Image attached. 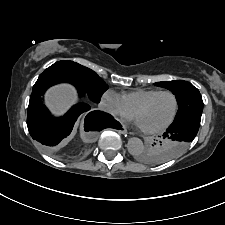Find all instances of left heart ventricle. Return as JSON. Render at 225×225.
<instances>
[{
	"label": "left heart ventricle",
	"mask_w": 225,
	"mask_h": 225,
	"mask_svg": "<svg viewBox=\"0 0 225 225\" xmlns=\"http://www.w3.org/2000/svg\"><path fill=\"white\" fill-rule=\"evenodd\" d=\"M173 110V97L170 94H162L141 110L136 118L142 128H157L169 120Z\"/></svg>",
	"instance_id": "left-heart-ventricle-1"
}]
</instances>
